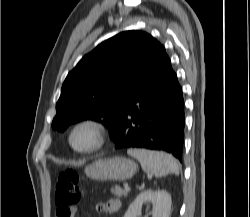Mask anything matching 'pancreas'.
Segmentation results:
<instances>
[{
  "mask_svg": "<svg viewBox=\"0 0 250 217\" xmlns=\"http://www.w3.org/2000/svg\"><path fill=\"white\" fill-rule=\"evenodd\" d=\"M111 192H112V194H114L117 197H123V196L125 197V196H127V193H128V191L123 190L122 188H120L118 186L111 188Z\"/></svg>",
  "mask_w": 250,
  "mask_h": 217,
  "instance_id": "obj_1",
  "label": "pancreas"
}]
</instances>
